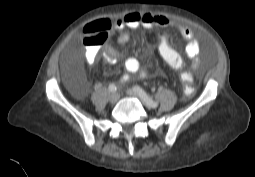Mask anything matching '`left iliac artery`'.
<instances>
[{
    "instance_id": "obj_1",
    "label": "left iliac artery",
    "mask_w": 255,
    "mask_h": 177,
    "mask_svg": "<svg viewBox=\"0 0 255 177\" xmlns=\"http://www.w3.org/2000/svg\"><path fill=\"white\" fill-rule=\"evenodd\" d=\"M134 90H136L140 96L152 107L155 108L158 106V103L153 101V99L151 97H149V95L139 86H135Z\"/></svg>"
}]
</instances>
